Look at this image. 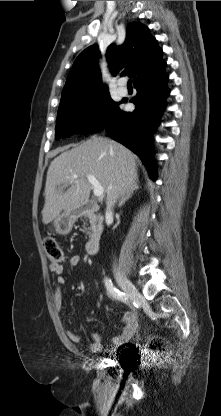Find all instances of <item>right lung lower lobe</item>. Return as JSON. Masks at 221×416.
I'll list each match as a JSON object with an SVG mask.
<instances>
[{"label":"right lung lower lobe","instance_id":"right-lung-lower-lobe-1","mask_svg":"<svg viewBox=\"0 0 221 416\" xmlns=\"http://www.w3.org/2000/svg\"><path fill=\"white\" fill-rule=\"evenodd\" d=\"M167 81L165 68L137 80L134 86L138 94L131 101L136 105L135 110L123 112L118 107L103 128L112 139L122 143L141 158L154 180L156 168L151 134L159 124V117L166 107L165 99L169 94Z\"/></svg>","mask_w":221,"mask_h":416}]
</instances>
